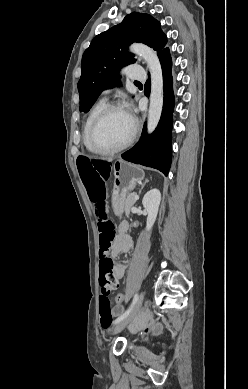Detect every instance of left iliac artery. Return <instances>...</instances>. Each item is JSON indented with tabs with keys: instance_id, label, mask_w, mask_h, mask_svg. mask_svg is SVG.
I'll list each match as a JSON object with an SVG mask.
<instances>
[{
	"instance_id": "44dca946",
	"label": "left iliac artery",
	"mask_w": 248,
	"mask_h": 389,
	"mask_svg": "<svg viewBox=\"0 0 248 389\" xmlns=\"http://www.w3.org/2000/svg\"><path fill=\"white\" fill-rule=\"evenodd\" d=\"M138 298H139L138 294H135L130 307L120 317H118L114 321V324H118L119 322H121L124 318H126L129 315V313L133 309L135 303L137 302Z\"/></svg>"
}]
</instances>
